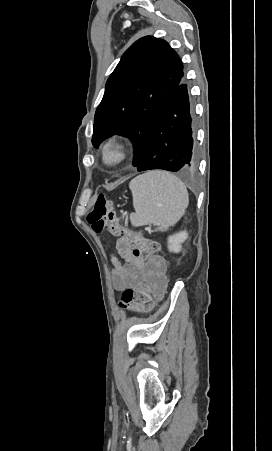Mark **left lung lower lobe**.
I'll return each mask as SVG.
<instances>
[{
	"label": "left lung lower lobe",
	"mask_w": 272,
	"mask_h": 451,
	"mask_svg": "<svg viewBox=\"0 0 272 451\" xmlns=\"http://www.w3.org/2000/svg\"><path fill=\"white\" fill-rule=\"evenodd\" d=\"M196 164L191 105L183 79L161 110L137 171L163 169L187 172Z\"/></svg>",
	"instance_id": "obj_1"
}]
</instances>
